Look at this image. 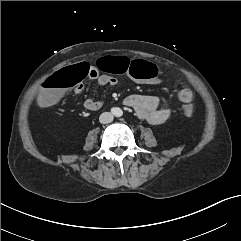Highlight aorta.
<instances>
[{"label": "aorta", "mask_w": 241, "mask_h": 241, "mask_svg": "<svg viewBox=\"0 0 241 241\" xmlns=\"http://www.w3.org/2000/svg\"><path fill=\"white\" fill-rule=\"evenodd\" d=\"M122 114H123V111H122L120 108H116V109L114 110V115H115L116 117H120V116H122Z\"/></svg>", "instance_id": "obj_1"}]
</instances>
